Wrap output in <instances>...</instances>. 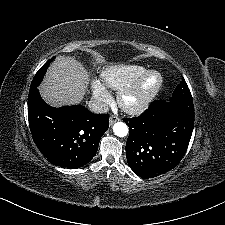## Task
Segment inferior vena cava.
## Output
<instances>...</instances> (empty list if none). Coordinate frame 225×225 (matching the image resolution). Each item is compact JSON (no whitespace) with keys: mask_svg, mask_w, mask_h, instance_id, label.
Wrapping results in <instances>:
<instances>
[{"mask_svg":"<svg viewBox=\"0 0 225 225\" xmlns=\"http://www.w3.org/2000/svg\"><path fill=\"white\" fill-rule=\"evenodd\" d=\"M88 108L91 112L97 114L106 113L109 110V107L105 102L94 99H91L89 101Z\"/></svg>","mask_w":225,"mask_h":225,"instance_id":"602c4592","label":"inferior vena cava"}]
</instances>
